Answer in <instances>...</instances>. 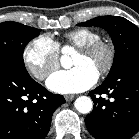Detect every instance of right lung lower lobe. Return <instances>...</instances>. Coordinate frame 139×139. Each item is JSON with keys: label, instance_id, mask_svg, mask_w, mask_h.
Segmentation results:
<instances>
[{"label": "right lung lower lobe", "instance_id": "right-lung-lower-lobe-1", "mask_svg": "<svg viewBox=\"0 0 139 139\" xmlns=\"http://www.w3.org/2000/svg\"><path fill=\"white\" fill-rule=\"evenodd\" d=\"M65 103L26 70L0 62V139H44L53 112Z\"/></svg>", "mask_w": 139, "mask_h": 139}]
</instances>
